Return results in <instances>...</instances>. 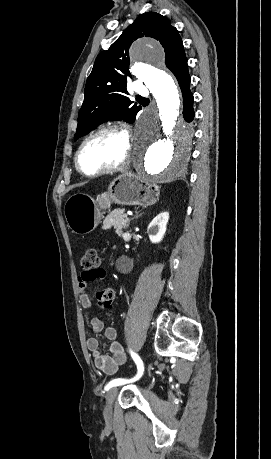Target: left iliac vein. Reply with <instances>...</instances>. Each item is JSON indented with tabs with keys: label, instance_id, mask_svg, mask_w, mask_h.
Masks as SVG:
<instances>
[{
	"label": "left iliac vein",
	"instance_id": "4c4485c4",
	"mask_svg": "<svg viewBox=\"0 0 271 459\" xmlns=\"http://www.w3.org/2000/svg\"><path fill=\"white\" fill-rule=\"evenodd\" d=\"M117 396V388L112 387L106 393V411L105 416L110 417L113 413V405Z\"/></svg>",
	"mask_w": 271,
	"mask_h": 459
}]
</instances>
